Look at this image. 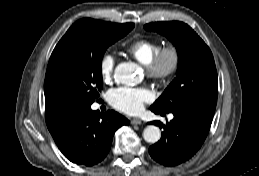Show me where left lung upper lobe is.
<instances>
[{
    "mask_svg": "<svg viewBox=\"0 0 259 176\" xmlns=\"http://www.w3.org/2000/svg\"><path fill=\"white\" fill-rule=\"evenodd\" d=\"M144 28L166 36L175 45L179 61L176 78L150 108L169 113L194 107L214 113L218 78L213 55L205 42L179 21L149 23Z\"/></svg>",
    "mask_w": 259,
    "mask_h": 176,
    "instance_id": "left-lung-upper-lobe-1",
    "label": "left lung upper lobe"
}]
</instances>
